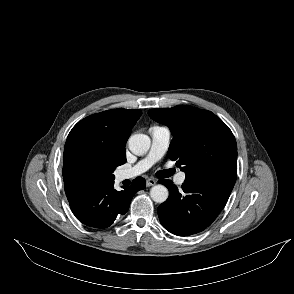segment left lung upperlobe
<instances>
[{
	"label": "left lung upper lobe",
	"mask_w": 294,
	"mask_h": 294,
	"mask_svg": "<svg viewBox=\"0 0 294 294\" xmlns=\"http://www.w3.org/2000/svg\"><path fill=\"white\" fill-rule=\"evenodd\" d=\"M173 133L168 157L186 173V180L226 177L236 181L237 144L228 126L211 111L179 105L149 110Z\"/></svg>",
	"instance_id": "5c2ea615"
}]
</instances>
